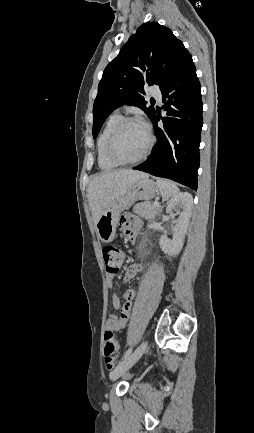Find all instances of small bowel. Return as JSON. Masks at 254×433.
Segmentation results:
<instances>
[{
    "mask_svg": "<svg viewBox=\"0 0 254 433\" xmlns=\"http://www.w3.org/2000/svg\"><path fill=\"white\" fill-rule=\"evenodd\" d=\"M120 227L123 229V231L129 238H133L138 234L141 227V222L138 219L131 218L130 216H126L120 220ZM143 271H144V267L141 264H132L125 271L124 281L126 282L134 278L136 275H138ZM115 274H109V280H108L109 286L112 285V278ZM134 298H135V291L133 290L124 291L121 294V296L113 295L112 305L115 309L119 310L120 315L119 316L109 315L107 317L105 322V326L107 329L119 331L126 327L131 316V310H132Z\"/></svg>",
    "mask_w": 254,
    "mask_h": 433,
    "instance_id": "small-bowel-1",
    "label": "small bowel"
}]
</instances>
